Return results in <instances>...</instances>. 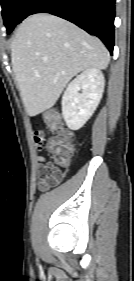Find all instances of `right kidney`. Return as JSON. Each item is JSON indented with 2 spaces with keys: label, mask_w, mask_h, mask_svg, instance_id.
Here are the masks:
<instances>
[{
  "label": "right kidney",
  "mask_w": 134,
  "mask_h": 281,
  "mask_svg": "<svg viewBox=\"0 0 134 281\" xmlns=\"http://www.w3.org/2000/svg\"><path fill=\"white\" fill-rule=\"evenodd\" d=\"M104 85L103 73L95 68L86 69L69 83L61 102L69 129L78 130L90 119L102 98Z\"/></svg>",
  "instance_id": "ca27d5eb"
}]
</instances>
